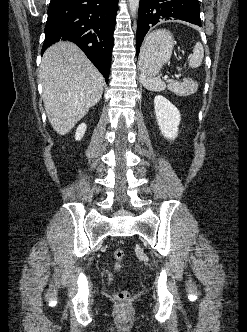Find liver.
<instances>
[{"label":"liver","mask_w":247,"mask_h":332,"mask_svg":"<svg viewBox=\"0 0 247 332\" xmlns=\"http://www.w3.org/2000/svg\"><path fill=\"white\" fill-rule=\"evenodd\" d=\"M38 76L48 120L59 135L67 134L99 102L105 84L100 72L69 41L45 51Z\"/></svg>","instance_id":"liver-1"}]
</instances>
